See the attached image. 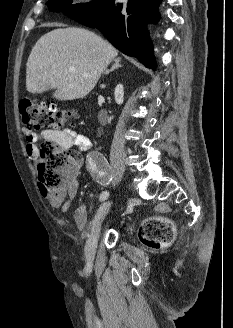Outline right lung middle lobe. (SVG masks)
I'll use <instances>...</instances> for the list:
<instances>
[{
  "instance_id": "1",
  "label": "right lung middle lobe",
  "mask_w": 233,
  "mask_h": 328,
  "mask_svg": "<svg viewBox=\"0 0 233 328\" xmlns=\"http://www.w3.org/2000/svg\"><path fill=\"white\" fill-rule=\"evenodd\" d=\"M99 1L100 0H94L91 3H80L72 5V0H48L47 5L53 12L63 11L65 14L69 15L71 13L87 10Z\"/></svg>"
}]
</instances>
